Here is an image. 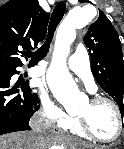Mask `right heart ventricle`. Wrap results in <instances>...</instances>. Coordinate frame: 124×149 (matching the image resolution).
Segmentation results:
<instances>
[{
    "mask_svg": "<svg viewBox=\"0 0 124 149\" xmlns=\"http://www.w3.org/2000/svg\"><path fill=\"white\" fill-rule=\"evenodd\" d=\"M64 128L69 129L73 134L77 136L86 137V135L80 129L77 119H74L69 125H67Z\"/></svg>",
    "mask_w": 124,
    "mask_h": 149,
    "instance_id": "right-heart-ventricle-1",
    "label": "right heart ventricle"
}]
</instances>
